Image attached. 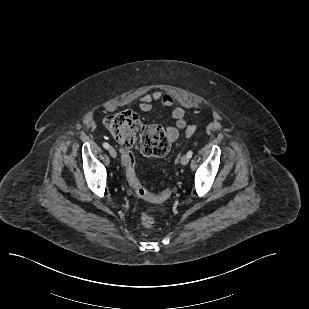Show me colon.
<instances>
[{
    "instance_id": "5ec220e1",
    "label": "colon",
    "mask_w": 309,
    "mask_h": 309,
    "mask_svg": "<svg viewBox=\"0 0 309 309\" xmlns=\"http://www.w3.org/2000/svg\"><path fill=\"white\" fill-rule=\"evenodd\" d=\"M105 125L124 148L122 158L133 192L138 197L152 202L160 203L169 199L171 190L166 189L159 194H154L141 185L136 175L135 158L131 150L137 144L141 153L145 156L160 157L166 155L170 149V141L164 129L158 124H143L139 116L130 110L109 115L105 119ZM195 132V126H190L186 130L188 136ZM154 222L155 219L152 214L148 212L141 214V223L144 227L149 228Z\"/></svg>"
}]
</instances>
